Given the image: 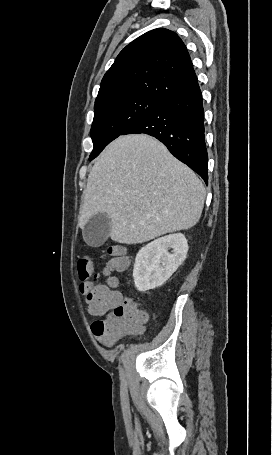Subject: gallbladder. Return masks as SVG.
Here are the masks:
<instances>
[{"label":"gallbladder","mask_w":272,"mask_h":455,"mask_svg":"<svg viewBox=\"0 0 272 455\" xmlns=\"http://www.w3.org/2000/svg\"><path fill=\"white\" fill-rule=\"evenodd\" d=\"M111 228L112 221L106 213L96 214L85 224L83 239L90 246H101L108 239Z\"/></svg>","instance_id":"obj_1"}]
</instances>
